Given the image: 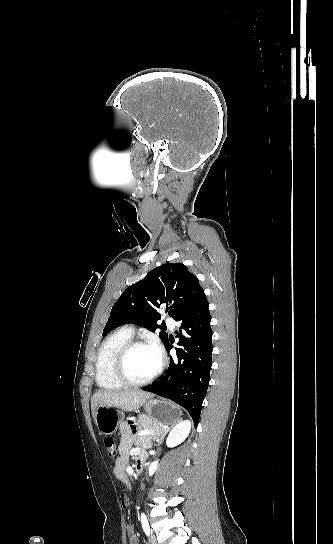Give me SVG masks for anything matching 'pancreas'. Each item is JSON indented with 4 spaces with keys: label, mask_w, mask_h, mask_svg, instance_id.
<instances>
[{
    "label": "pancreas",
    "mask_w": 333,
    "mask_h": 544,
    "mask_svg": "<svg viewBox=\"0 0 333 544\" xmlns=\"http://www.w3.org/2000/svg\"><path fill=\"white\" fill-rule=\"evenodd\" d=\"M137 423H138V430H140V431L141 430H149L151 432V434H147L145 436H142L139 439V442L142 439L153 437L155 434L165 431L162 424L154 421L150 416H147V415H140L139 418H138Z\"/></svg>",
    "instance_id": "obj_1"
}]
</instances>
